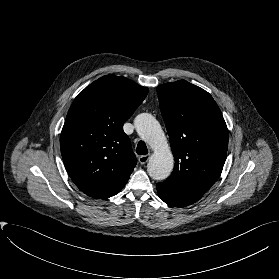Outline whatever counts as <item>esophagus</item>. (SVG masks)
I'll return each mask as SVG.
<instances>
[{
	"instance_id": "1",
	"label": "esophagus",
	"mask_w": 279,
	"mask_h": 279,
	"mask_svg": "<svg viewBox=\"0 0 279 279\" xmlns=\"http://www.w3.org/2000/svg\"><path fill=\"white\" fill-rule=\"evenodd\" d=\"M149 159H150V155H142V156H140L139 157V163L140 164H146L148 161H149Z\"/></svg>"
}]
</instances>
